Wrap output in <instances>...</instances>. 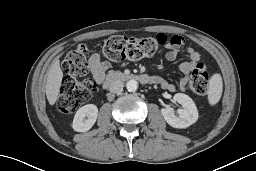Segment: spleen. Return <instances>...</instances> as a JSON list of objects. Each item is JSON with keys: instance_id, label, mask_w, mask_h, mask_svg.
<instances>
[{"instance_id": "obj_1", "label": "spleen", "mask_w": 256, "mask_h": 171, "mask_svg": "<svg viewBox=\"0 0 256 171\" xmlns=\"http://www.w3.org/2000/svg\"><path fill=\"white\" fill-rule=\"evenodd\" d=\"M223 90V83L220 74H214L208 86V101L210 105H215L219 102Z\"/></svg>"}]
</instances>
